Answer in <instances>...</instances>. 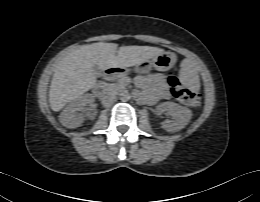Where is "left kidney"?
Here are the masks:
<instances>
[{"label": "left kidney", "instance_id": "1", "mask_svg": "<svg viewBox=\"0 0 260 202\" xmlns=\"http://www.w3.org/2000/svg\"><path fill=\"white\" fill-rule=\"evenodd\" d=\"M169 112L173 120L162 122V127L168 132H176L183 129L190 121L192 112L190 109L180 106L174 102H163L156 107L158 114Z\"/></svg>", "mask_w": 260, "mask_h": 202}]
</instances>
